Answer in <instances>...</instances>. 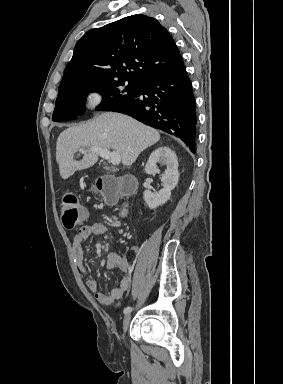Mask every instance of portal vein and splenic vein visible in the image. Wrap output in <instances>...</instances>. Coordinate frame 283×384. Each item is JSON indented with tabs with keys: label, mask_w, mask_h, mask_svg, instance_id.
<instances>
[{
	"label": "portal vein and splenic vein",
	"mask_w": 283,
	"mask_h": 384,
	"mask_svg": "<svg viewBox=\"0 0 283 384\" xmlns=\"http://www.w3.org/2000/svg\"><path fill=\"white\" fill-rule=\"evenodd\" d=\"M91 152H96L99 154L103 160H108L111 164H120L121 158L119 152H109L106 148H90ZM80 152H84L83 148H81Z\"/></svg>",
	"instance_id": "18ae733b"
}]
</instances>
